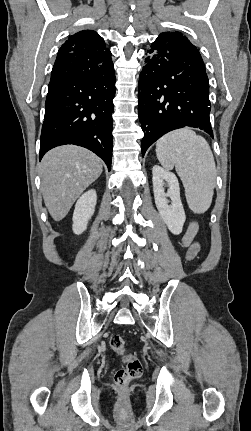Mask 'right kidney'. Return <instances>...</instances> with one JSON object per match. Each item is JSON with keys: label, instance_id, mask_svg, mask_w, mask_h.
I'll return each mask as SVG.
<instances>
[{"label": "right kidney", "instance_id": "obj_1", "mask_svg": "<svg viewBox=\"0 0 251 431\" xmlns=\"http://www.w3.org/2000/svg\"><path fill=\"white\" fill-rule=\"evenodd\" d=\"M96 201V191L91 189L85 192L76 202L72 218V230L75 234H82L87 229L88 221L95 211Z\"/></svg>", "mask_w": 251, "mask_h": 431}]
</instances>
